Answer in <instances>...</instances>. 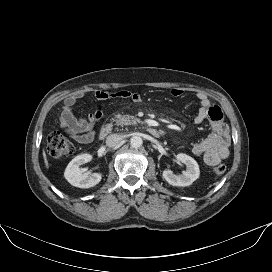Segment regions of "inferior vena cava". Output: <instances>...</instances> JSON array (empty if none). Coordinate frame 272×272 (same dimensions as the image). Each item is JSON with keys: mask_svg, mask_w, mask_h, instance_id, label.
I'll use <instances>...</instances> for the list:
<instances>
[{"mask_svg": "<svg viewBox=\"0 0 272 272\" xmlns=\"http://www.w3.org/2000/svg\"><path fill=\"white\" fill-rule=\"evenodd\" d=\"M122 140V136L118 134H111L106 138V145L108 147L117 146Z\"/></svg>", "mask_w": 272, "mask_h": 272, "instance_id": "obj_1", "label": "inferior vena cava"}]
</instances>
